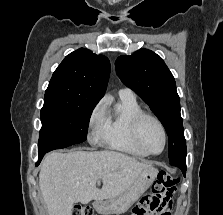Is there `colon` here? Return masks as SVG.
<instances>
[{
    "label": "colon",
    "instance_id": "1",
    "mask_svg": "<svg viewBox=\"0 0 223 215\" xmlns=\"http://www.w3.org/2000/svg\"><path fill=\"white\" fill-rule=\"evenodd\" d=\"M178 179L166 171L157 174V181L153 194L144 197L140 204L134 209V215H165L166 206L153 202V197L161 193H173L176 189ZM72 215H94L89 206L76 205Z\"/></svg>",
    "mask_w": 223,
    "mask_h": 215
}]
</instances>
